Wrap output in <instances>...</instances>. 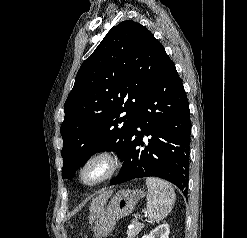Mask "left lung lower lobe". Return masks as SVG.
<instances>
[{
	"label": "left lung lower lobe",
	"instance_id": "0a47b994",
	"mask_svg": "<svg viewBox=\"0 0 247 238\" xmlns=\"http://www.w3.org/2000/svg\"><path fill=\"white\" fill-rule=\"evenodd\" d=\"M190 130L186 93L173 61L167 57L137 113L122 156V168L110 185L134 178L159 177L185 194ZM144 136L150 138L143 142Z\"/></svg>",
	"mask_w": 247,
	"mask_h": 238
}]
</instances>
